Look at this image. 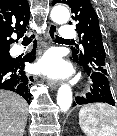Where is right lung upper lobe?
<instances>
[{"mask_svg": "<svg viewBox=\"0 0 117 136\" xmlns=\"http://www.w3.org/2000/svg\"><path fill=\"white\" fill-rule=\"evenodd\" d=\"M29 18L27 0H0V52L9 51L15 42L11 38L13 32H17L18 37L26 32Z\"/></svg>", "mask_w": 117, "mask_h": 136, "instance_id": "cb5924a9", "label": "right lung upper lobe"}]
</instances>
